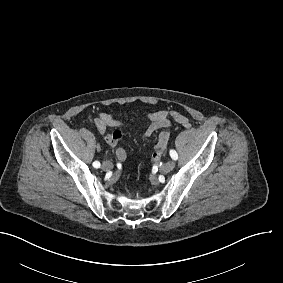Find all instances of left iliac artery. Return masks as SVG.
Listing matches in <instances>:
<instances>
[{
    "instance_id": "44dca946",
    "label": "left iliac artery",
    "mask_w": 283,
    "mask_h": 283,
    "mask_svg": "<svg viewBox=\"0 0 283 283\" xmlns=\"http://www.w3.org/2000/svg\"><path fill=\"white\" fill-rule=\"evenodd\" d=\"M170 156L173 160H177L178 159V154L176 153L175 150H170Z\"/></svg>"
}]
</instances>
